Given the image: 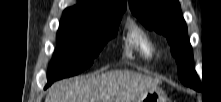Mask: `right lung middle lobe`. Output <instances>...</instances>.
<instances>
[{"label": "right lung middle lobe", "mask_w": 221, "mask_h": 102, "mask_svg": "<svg viewBox=\"0 0 221 102\" xmlns=\"http://www.w3.org/2000/svg\"><path fill=\"white\" fill-rule=\"evenodd\" d=\"M122 14L109 19L62 17L46 87L90 67L108 40L116 36Z\"/></svg>", "instance_id": "right-lung-middle-lobe-1"}]
</instances>
